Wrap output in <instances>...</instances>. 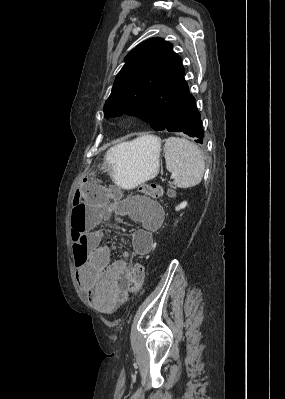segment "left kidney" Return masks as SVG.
Returning a JSON list of instances; mask_svg holds the SVG:
<instances>
[{"instance_id":"5707ae66","label":"left kidney","mask_w":285,"mask_h":399,"mask_svg":"<svg viewBox=\"0 0 285 399\" xmlns=\"http://www.w3.org/2000/svg\"><path fill=\"white\" fill-rule=\"evenodd\" d=\"M187 206V202L184 201L182 203H180L177 207H176V211H179L180 209H184Z\"/></svg>"}]
</instances>
